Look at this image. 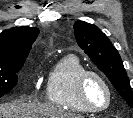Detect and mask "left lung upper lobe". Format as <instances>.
Returning <instances> with one entry per match:
<instances>
[{
  "label": "left lung upper lobe",
  "instance_id": "obj_1",
  "mask_svg": "<svg viewBox=\"0 0 133 118\" xmlns=\"http://www.w3.org/2000/svg\"><path fill=\"white\" fill-rule=\"evenodd\" d=\"M74 31L78 45L133 108V91L129 78L118 51L107 36L97 26L79 20L74 24Z\"/></svg>",
  "mask_w": 133,
  "mask_h": 118
}]
</instances>
